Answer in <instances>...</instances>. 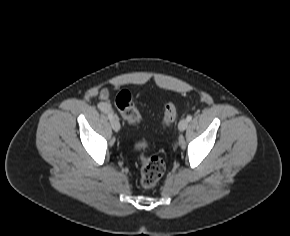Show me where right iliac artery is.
<instances>
[{"instance_id":"obj_1","label":"right iliac artery","mask_w":290,"mask_h":236,"mask_svg":"<svg viewBox=\"0 0 290 236\" xmlns=\"http://www.w3.org/2000/svg\"><path fill=\"white\" fill-rule=\"evenodd\" d=\"M108 118H109L110 120H112V119L114 118L113 114H112V113H109V114H108Z\"/></svg>"}]
</instances>
